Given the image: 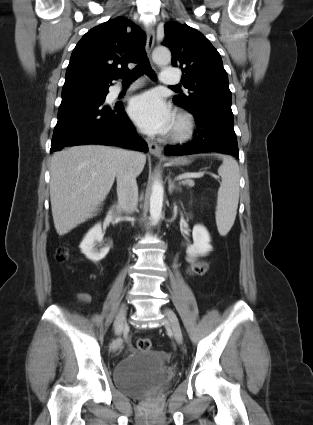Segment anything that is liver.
<instances>
[{"label": "liver", "mask_w": 313, "mask_h": 425, "mask_svg": "<svg viewBox=\"0 0 313 425\" xmlns=\"http://www.w3.org/2000/svg\"><path fill=\"white\" fill-rule=\"evenodd\" d=\"M123 149L74 146L54 153L50 164V200L54 226L63 236L94 216L114 183ZM146 156L137 153L138 176Z\"/></svg>", "instance_id": "6515ba94"}]
</instances>
